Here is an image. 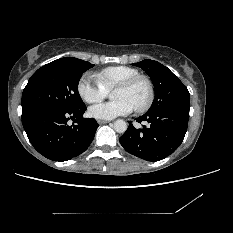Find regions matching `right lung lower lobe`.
Returning <instances> with one entry per match:
<instances>
[{"label":"right lung lower lobe","instance_id":"98d812e1","mask_svg":"<svg viewBox=\"0 0 233 233\" xmlns=\"http://www.w3.org/2000/svg\"><path fill=\"white\" fill-rule=\"evenodd\" d=\"M86 106L77 110L46 108L22 117L33 147L53 161H67L83 153L93 141L98 124L83 118ZM69 119L73 122L68 124Z\"/></svg>","mask_w":233,"mask_h":233}]
</instances>
